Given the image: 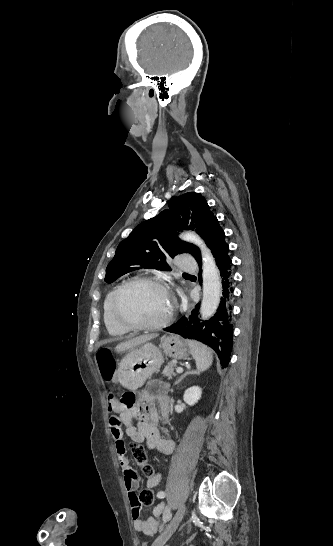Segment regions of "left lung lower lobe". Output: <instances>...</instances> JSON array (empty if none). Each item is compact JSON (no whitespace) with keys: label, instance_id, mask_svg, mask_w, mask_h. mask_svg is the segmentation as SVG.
<instances>
[{"label":"left lung lower lobe","instance_id":"obj_1","mask_svg":"<svg viewBox=\"0 0 333 546\" xmlns=\"http://www.w3.org/2000/svg\"><path fill=\"white\" fill-rule=\"evenodd\" d=\"M224 231L218 220L214 221L212 231L206 244L215 257L223 286V296L215 315L207 321L198 317L199 307L196 306L191 314L181 318L177 323L164 329L167 332L181 335L187 339H196L210 346L218 355L222 368L228 366L232 349L233 326L231 324L230 296L231 287V259L228 256L229 245L225 242ZM199 266H202L201 254L195 256Z\"/></svg>","mask_w":333,"mask_h":546}]
</instances>
